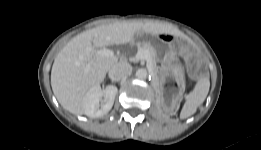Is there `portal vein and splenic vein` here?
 <instances>
[{
  "mask_svg": "<svg viewBox=\"0 0 261 150\" xmlns=\"http://www.w3.org/2000/svg\"><path fill=\"white\" fill-rule=\"evenodd\" d=\"M89 51L95 52L97 55L104 56V57H110L114 55V52L110 49L102 48L99 50H94L92 47L88 48ZM136 59H149L148 52L144 49H139L136 54Z\"/></svg>",
  "mask_w": 261,
  "mask_h": 150,
  "instance_id": "obj_1",
  "label": "portal vein and splenic vein"
}]
</instances>
